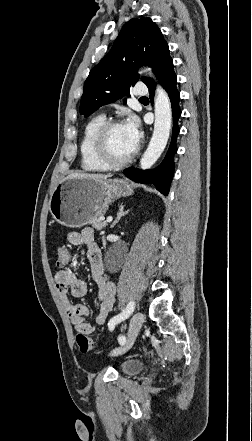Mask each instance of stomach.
<instances>
[{"mask_svg": "<svg viewBox=\"0 0 252 441\" xmlns=\"http://www.w3.org/2000/svg\"><path fill=\"white\" fill-rule=\"evenodd\" d=\"M132 194L133 187L125 179L70 178L51 194L49 210L55 222L76 228L100 216L114 200Z\"/></svg>", "mask_w": 252, "mask_h": 441, "instance_id": "0dacf381", "label": "stomach"}]
</instances>
